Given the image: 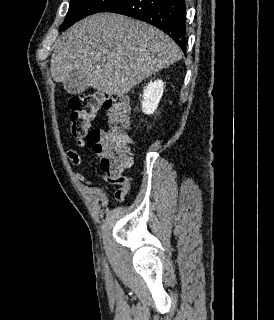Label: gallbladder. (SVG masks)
I'll list each match as a JSON object with an SVG mask.
<instances>
[{
	"instance_id": "gallbladder-1",
	"label": "gallbladder",
	"mask_w": 274,
	"mask_h": 320,
	"mask_svg": "<svg viewBox=\"0 0 274 320\" xmlns=\"http://www.w3.org/2000/svg\"><path fill=\"white\" fill-rule=\"evenodd\" d=\"M64 84L68 95H83L85 90H89L84 68H73L72 72H68V78L64 79Z\"/></svg>"
}]
</instances>
